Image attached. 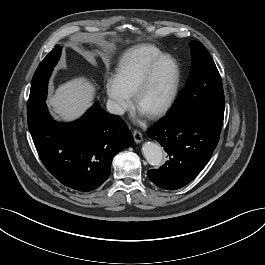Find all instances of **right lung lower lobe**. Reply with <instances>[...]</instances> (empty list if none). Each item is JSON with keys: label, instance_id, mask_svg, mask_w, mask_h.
I'll use <instances>...</instances> for the list:
<instances>
[{"label": "right lung lower lobe", "instance_id": "obj_1", "mask_svg": "<svg viewBox=\"0 0 265 265\" xmlns=\"http://www.w3.org/2000/svg\"><path fill=\"white\" fill-rule=\"evenodd\" d=\"M28 127L47 170L63 185L82 192L106 181L113 157L134 143L125 122L98 103L69 124L54 121L44 103L28 114Z\"/></svg>", "mask_w": 265, "mask_h": 265}]
</instances>
